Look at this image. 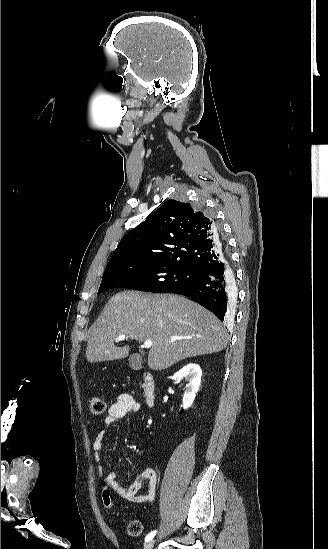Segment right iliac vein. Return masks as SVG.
<instances>
[{
    "label": "right iliac vein",
    "instance_id": "obj_1",
    "mask_svg": "<svg viewBox=\"0 0 328 549\" xmlns=\"http://www.w3.org/2000/svg\"><path fill=\"white\" fill-rule=\"evenodd\" d=\"M154 542H155V540H153V539L147 541L144 545V549H152L153 546H154Z\"/></svg>",
    "mask_w": 328,
    "mask_h": 549
}]
</instances>
